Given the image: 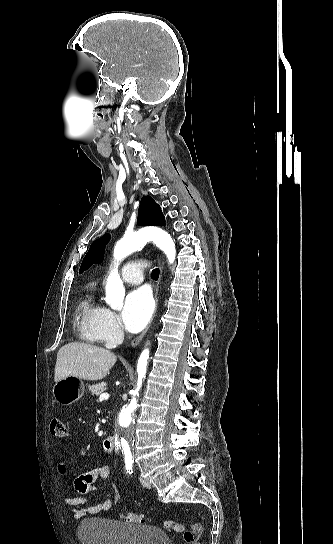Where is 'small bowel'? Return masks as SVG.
<instances>
[{
  "label": "small bowel",
  "instance_id": "obj_1",
  "mask_svg": "<svg viewBox=\"0 0 333 544\" xmlns=\"http://www.w3.org/2000/svg\"><path fill=\"white\" fill-rule=\"evenodd\" d=\"M66 471V464L64 462H59L57 464V472L59 474H65ZM110 471L111 466L109 464H104L80 474L75 479L74 487L76 491L80 494V496L64 498L65 504L72 508V512L75 517L82 515L99 514L108 511L112 507V505L118 501L119 493L116 489V486L113 483L109 484L107 482ZM98 479H101L105 482V486L107 489L106 498L98 503L90 504L89 499L85 497V495L96 491V487L93 486V483Z\"/></svg>",
  "mask_w": 333,
  "mask_h": 544
}]
</instances>
